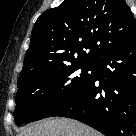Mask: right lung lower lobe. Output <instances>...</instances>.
<instances>
[{"instance_id":"obj_1","label":"right lung lower lobe","mask_w":136,"mask_h":136,"mask_svg":"<svg viewBox=\"0 0 136 136\" xmlns=\"http://www.w3.org/2000/svg\"><path fill=\"white\" fill-rule=\"evenodd\" d=\"M93 64L91 81L48 117L76 119L106 136H134L136 37L104 54Z\"/></svg>"}]
</instances>
